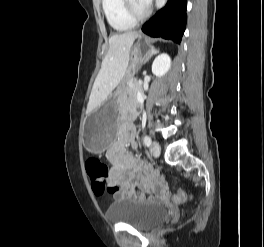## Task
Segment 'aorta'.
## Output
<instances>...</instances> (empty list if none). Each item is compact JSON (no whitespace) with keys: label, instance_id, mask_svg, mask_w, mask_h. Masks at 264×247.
<instances>
[{"label":"aorta","instance_id":"762f6f07","mask_svg":"<svg viewBox=\"0 0 264 247\" xmlns=\"http://www.w3.org/2000/svg\"><path fill=\"white\" fill-rule=\"evenodd\" d=\"M167 0H155V5L157 9H161L166 4Z\"/></svg>","mask_w":264,"mask_h":247}]
</instances>
